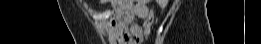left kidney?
<instances>
[{"label": "left kidney", "mask_w": 261, "mask_h": 44, "mask_svg": "<svg viewBox=\"0 0 261 44\" xmlns=\"http://www.w3.org/2000/svg\"><path fill=\"white\" fill-rule=\"evenodd\" d=\"M167 2H168L167 0H159V5L162 8V10L165 8Z\"/></svg>", "instance_id": "1"}]
</instances>
